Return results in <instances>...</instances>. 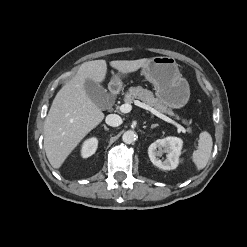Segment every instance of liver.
Listing matches in <instances>:
<instances>
[{"label":"liver","instance_id":"liver-1","mask_svg":"<svg viewBox=\"0 0 247 247\" xmlns=\"http://www.w3.org/2000/svg\"><path fill=\"white\" fill-rule=\"evenodd\" d=\"M148 59L116 60L110 66L125 75L143 67ZM107 73L105 60L83 63L76 75L55 96L44 121V149L54 168H60L84 137L104 119V113L89 98L86 80L102 83Z\"/></svg>","mask_w":247,"mask_h":247}]
</instances>
